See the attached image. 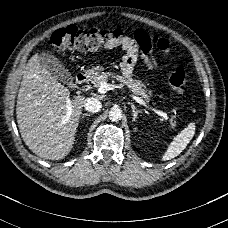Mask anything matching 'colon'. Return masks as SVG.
Wrapping results in <instances>:
<instances>
[{"label":"colon","instance_id":"colon-1","mask_svg":"<svg viewBox=\"0 0 228 228\" xmlns=\"http://www.w3.org/2000/svg\"><path fill=\"white\" fill-rule=\"evenodd\" d=\"M126 38H128V32L125 30L100 31L69 26L56 30L47 43L54 48L87 50L94 53L105 45L107 48L112 49ZM154 43L158 49L168 48V42L164 39H155ZM169 80L176 94H184L185 72L181 67L172 69Z\"/></svg>","mask_w":228,"mask_h":228}]
</instances>
